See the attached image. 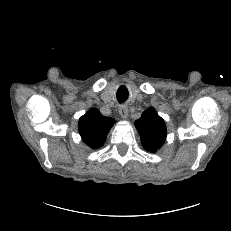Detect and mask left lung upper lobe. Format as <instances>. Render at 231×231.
I'll use <instances>...</instances> for the list:
<instances>
[{
  "instance_id": "1",
  "label": "left lung upper lobe",
  "mask_w": 231,
  "mask_h": 231,
  "mask_svg": "<svg viewBox=\"0 0 231 231\" xmlns=\"http://www.w3.org/2000/svg\"><path fill=\"white\" fill-rule=\"evenodd\" d=\"M135 126L147 151L156 152L166 140L165 122L152 107L143 112L141 118L135 122Z\"/></svg>"
}]
</instances>
